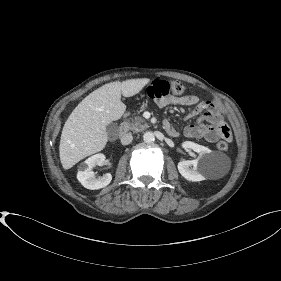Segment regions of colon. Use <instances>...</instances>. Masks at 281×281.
Returning a JSON list of instances; mask_svg holds the SVG:
<instances>
[{"instance_id":"colon-1","label":"colon","mask_w":281,"mask_h":281,"mask_svg":"<svg viewBox=\"0 0 281 281\" xmlns=\"http://www.w3.org/2000/svg\"><path fill=\"white\" fill-rule=\"evenodd\" d=\"M185 88L178 81L157 80L149 87V95L152 98L160 99L167 97H176L184 92ZM230 135L226 131L223 140L219 141L217 147L220 150H227L229 147Z\"/></svg>"}]
</instances>
